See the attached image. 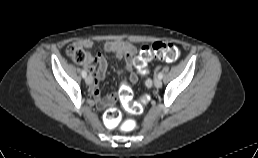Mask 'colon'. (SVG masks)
<instances>
[{
  "label": "colon",
  "instance_id": "obj_1",
  "mask_svg": "<svg viewBox=\"0 0 258 158\" xmlns=\"http://www.w3.org/2000/svg\"><path fill=\"white\" fill-rule=\"evenodd\" d=\"M66 53L76 63L84 64L91 62L92 57L83 48L76 45H70ZM156 57L163 61L173 62L179 57V49L172 42L157 41L151 45H144L141 47L139 56L134 59V65L137 67L139 73L145 75L147 73L148 62ZM146 86L150 87V80H146ZM120 99L126 108V110L133 114H140L143 112L144 107L149 101L148 96L145 94L142 96L139 102H132V92L129 87L123 86L119 92ZM106 119L115 126L120 122L119 112L115 108H111L106 113Z\"/></svg>",
  "mask_w": 258,
  "mask_h": 158
}]
</instances>
